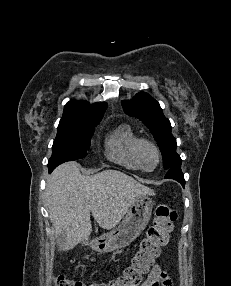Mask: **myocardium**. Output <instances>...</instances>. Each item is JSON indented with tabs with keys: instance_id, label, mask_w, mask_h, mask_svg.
<instances>
[{
	"instance_id": "f54148a6",
	"label": "myocardium",
	"mask_w": 231,
	"mask_h": 286,
	"mask_svg": "<svg viewBox=\"0 0 231 286\" xmlns=\"http://www.w3.org/2000/svg\"><path fill=\"white\" fill-rule=\"evenodd\" d=\"M146 147H149L151 148L154 152H155V155H156V159H157V162H156V165L153 169L149 170V169H146L143 165V161H142V154H143V150L146 148ZM135 157H136V161H137V164L139 166V168L145 172H151V171H154L159 165H160V162H161V152H160V149L159 147L157 146V144L155 142H153L152 140H149V139H145V138H140L137 145H136V150H135Z\"/></svg>"
}]
</instances>
